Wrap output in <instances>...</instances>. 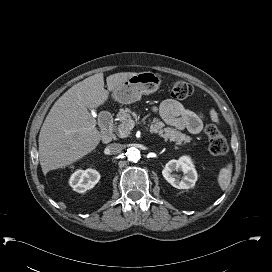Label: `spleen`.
I'll use <instances>...</instances> for the list:
<instances>
[{
  "label": "spleen",
  "mask_w": 272,
  "mask_h": 272,
  "mask_svg": "<svg viewBox=\"0 0 272 272\" xmlns=\"http://www.w3.org/2000/svg\"><path fill=\"white\" fill-rule=\"evenodd\" d=\"M231 176H232V163H228L225 168H222L220 170L218 176V183L222 190H225L229 186L231 182Z\"/></svg>",
  "instance_id": "3e777b00"
}]
</instances>
